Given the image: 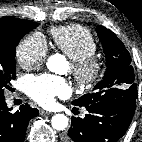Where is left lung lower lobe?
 <instances>
[{"label":"left lung lower lobe","instance_id":"left-lung-lower-lobe-1","mask_svg":"<svg viewBox=\"0 0 142 142\" xmlns=\"http://www.w3.org/2000/svg\"><path fill=\"white\" fill-rule=\"evenodd\" d=\"M135 96L95 102L85 106V118L72 117L63 142H116L128 129L134 115Z\"/></svg>","mask_w":142,"mask_h":142}]
</instances>
